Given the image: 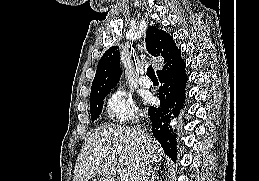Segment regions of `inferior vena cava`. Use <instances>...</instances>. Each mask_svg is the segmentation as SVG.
<instances>
[{"mask_svg":"<svg viewBox=\"0 0 259 181\" xmlns=\"http://www.w3.org/2000/svg\"><path fill=\"white\" fill-rule=\"evenodd\" d=\"M151 168H152V160L150 158V154L146 152L144 154V162L136 177V181H148L149 175L151 173Z\"/></svg>","mask_w":259,"mask_h":181,"instance_id":"obj_1","label":"inferior vena cava"}]
</instances>
